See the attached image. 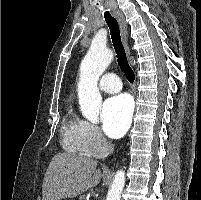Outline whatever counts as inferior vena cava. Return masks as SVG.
I'll list each match as a JSON object with an SVG mask.
<instances>
[{
	"instance_id": "602c4592",
	"label": "inferior vena cava",
	"mask_w": 201,
	"mask_h": 200,
	"mask_svg": "<svg viewBox=\"0 0 201 200\" xmlns=\"http://www.w3.org/2000/svg\"><path fill=\"white\" fill-rule=\"evenodd\" d=\"M108 149H109V151L112 153L113 150H114V145L111 144V143H108Z\"/></svg>"
}]
</instances>
